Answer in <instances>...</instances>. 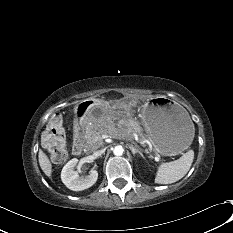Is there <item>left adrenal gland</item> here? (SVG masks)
Segmentation results:
<instances>
[{
  "label": "left adrenal gland",
  "mask_w": 233,
  "mask_h": 233,
  "mask_svg": "<svg viewBox=\"0 0 233 233\" xmlns=\"http://www.w3.org/2000/svg\"><path fill=\"white\" fill-rule=\"evenodd\" d=\"M129 147H130V149H131V151H132V154H133L134 156H135L136 154H139L142 158H144L142 152H141L138 148H136L137 146L134 147L133 145H130Z\"/></svg>",
  "instance_id": "1"
}]
</instances>
